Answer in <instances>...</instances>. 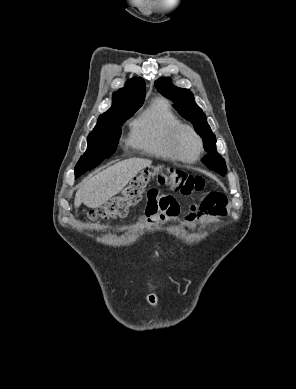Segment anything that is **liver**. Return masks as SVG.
<instances>
[{
    "label": "liver",
    "instance_id": "obj_1",
    "mask_svg": "<svg viewBox=\"0 0 296 389\" xmlns=\"http://www.w3.org/2000/svg\"><path fill=\"white\" fill-rule=\"evenodd\" d=\"M152 161L130 158L104 169L90 177L76 192L74 206L84 203L89 208H98L118 194L139 171L150 166Z\"/></svg>",
    "mask_w": 296,
    "mask_h": 389
}]
</instances>
